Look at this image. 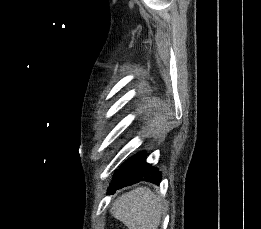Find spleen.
<instances>
[{"label":"spleen","instance_id":"3e777b00","mask_svg":"<svg viewBox=\"0 0 261 229\" xmlns=\"http://www.w3.org/2000/svg\"><path fill=\"white\" fill-rule=\"evenodd\" d=\"M163 207L160 195H153L147 187H137L118 197L110 213L128 229H158Z\"/></svg>","mask_w":261,"mask_h":229}]
</instances>
